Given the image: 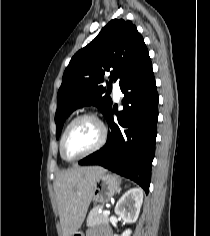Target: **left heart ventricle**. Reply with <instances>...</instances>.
Listing matches in <instances>:
<instances>
[{
  "label": "left heart ventricle",
  "instance_id": "1",
  "mask_svg": "<svg viewBox=\"0 0 210 236\" xmlns=\"http://www.w3.org/2000/svg\"><path fill=\"white\" fill-rule=\"evenodd\" d=\"M100 129L91 119L77 121L68 131L64 141V155L72 159L92 148L98 141Z\"/></svg>",
  "mask_w": 210,
  "mask_h": 236
}]
</instances>
